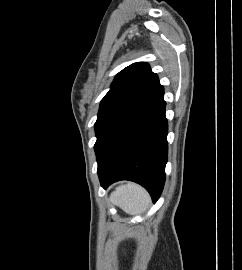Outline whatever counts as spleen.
Returning a JSON list of instances; mask_svg holds the SVG:
<instances>
[{
	"instance_id": "3e777b00",
	"label": "spleen",
	"mask_w": 242,
	"mask_h": 270,
	"mask_svg": "<svg viewBox=\"0 0 242 270\" xmlns=\"http://www.w3.org/2000/svg\"><path fill=\"white\" fill-rule=\"evenodd\" d=\"M110 201L129 214L144 212L150 204V196L141 186L126 183L111 193Z\"/></svg>"
}]
</instances>
